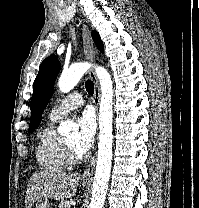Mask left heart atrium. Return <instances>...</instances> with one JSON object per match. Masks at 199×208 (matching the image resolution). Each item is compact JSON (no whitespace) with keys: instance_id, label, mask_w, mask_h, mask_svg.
<instances>
[{"instance_id":"left-heart-atrium-1","label":"left heart atrium","mask_w":199,"mask_h":208,"mask_svg":"<svg viewBox=\"0 0 199 208\" xmlns=\"http://www.w3.org/2000/svg\"><path fill=\"white\" fill-rule=\"evenodd\" d=\"M79 136L76 141V150L84 155L91 148L96 132V122L93 112L86 109L78 117Z\"/></svg>"}]
</instances>
